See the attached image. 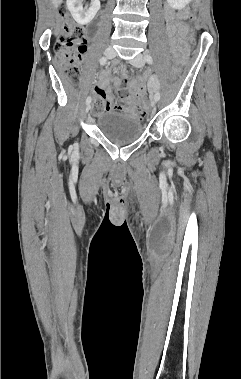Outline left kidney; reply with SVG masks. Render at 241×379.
<instances>
[{
    "mask_svg": "<svg viewBox=\"0 0 241 379\" xmlns=\"http://www.w3.org/2000/svg\"><path fill=\"white\" fill-rule=\"evenodd\" d=\"M167 2L174 9H183L191 0H167Z\"/></svg>",
    "mask_w": 241,
    "mask_h": 379,
    "instance_id": "1",
    "label": "left kidney"
}]
</instances>
